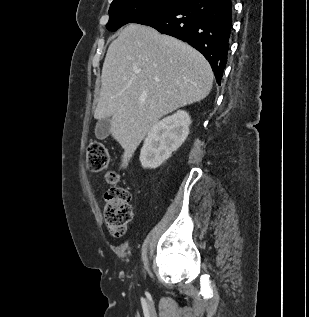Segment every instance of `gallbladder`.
<instances>
[{"mask_svg": "<svg viewBox=\"0 0 309 317\" xmlns=\"http://www.w3.org/2000/svg\"><path fill=\"white\" fill-rule=\"evenodd\" d=\"M110 134V118H103L97 121L95 135L98 139L103 140Z\"/></svg>", "mask_w": 309, "mask_h": 317, "instance_id": "1", "label": "gallbladder"}]
</instances>
